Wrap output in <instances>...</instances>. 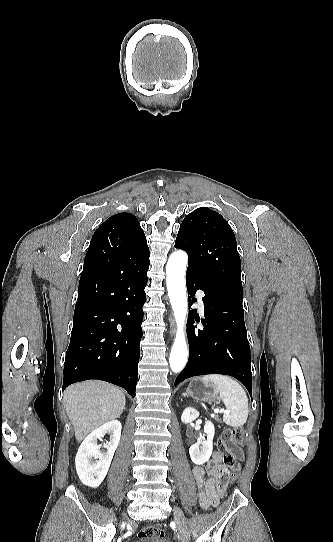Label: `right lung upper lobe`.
I'll list each match as a JSON object with an SVG mask.
<instances>
[{
  "label": "right lung upper lobe",
  "instance_id": "1",
  "mask_svg": "<svg viewBox=\"0 0 333 542\" xmlns=\"http://www.w3.org/2000/svg\"><path fill=\"white\" fill-rule=\"evenodd\" d=\"M147 245L137 218L131 213H119L108 218L93 234L88 252H107L126 246ZM87 274L82 271L81 275Z\"/></svg>",
  "mask_w": 333,
  "mask_h": 542
}]
</instances>
